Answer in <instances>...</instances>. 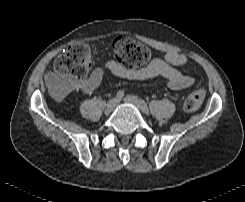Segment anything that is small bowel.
<instances>
[{
    "label": "small bowel",
    "mask_w": 245,
    "mask_h": 202,
    "mask_svg": "<svg viewBox=\"0 0 245 202\" xmlns=\"http://www.w3.org/2000/svg\"><path fill=\"white\" fill-rule=\"evenodd\" d=\"M183 60V55L175 50H169L164 58H154L147 65L137 69L122 66L115 59H108L104 68L96 69L88 78L80 81H71L66 87L61 88L62 94H72L78 91L89 93L97 89L105 75V70L113 75L127 80L143 81L155 77H162L167 81L171 90L182 91L194 84L192 76L185 74L176 68ZM54 78L51 73L47 79Z\"/></svg>",
    "instance_id": "c3829d8e"
}]
</instances>
